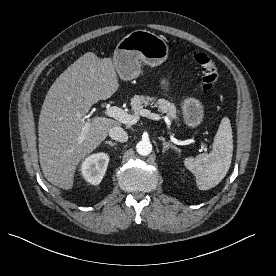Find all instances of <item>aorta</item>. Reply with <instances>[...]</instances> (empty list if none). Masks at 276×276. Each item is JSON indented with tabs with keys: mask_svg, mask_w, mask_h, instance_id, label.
<instances>
[{
	"mask_svg": "<svg viewBox=\"0 0 276 276\" xmlns=\"http://www.w3.org/2000/svg\"><path fill=\"white\" fill-rule=\"evenodd\" d=\"M137 152L142 156H147L152 151V144L148 140H141L136 145Z\"/></svg>",
	"mask_w": 276,
	"mask_h": 276,
	"instance_id": "aorta-1",
	"label": "aorta"
}]
</instances>
